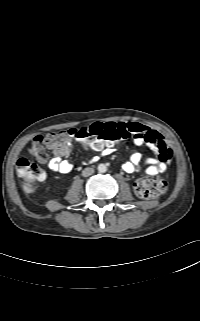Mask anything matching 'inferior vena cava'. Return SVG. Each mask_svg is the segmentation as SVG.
I'll list each match as a JSON object with an SVG mask.
<instances>
[{"mask_svg": "<svg viewBox=\"0 0 200 321\" xmlns=\"http://www.w3.org/2000/svg\"><path fill=\"white\" fill-rule=\"evenodd\" d=\"M93 173H94V169L93 168H85L82 171V176L88 177V176L92 175Z\"/></svg>", "mask_w": 200, "mask_h": 321, "instance_id": "602c4592", "label": "inferior vena cava"}]
</instances>
